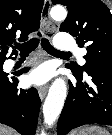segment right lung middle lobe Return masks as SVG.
Instances as JSON below:
<instances>
[{"label":"right lung middle lobe","mask_w":112,"mask_h":135,"mask_svg":"<svg viewBox=\"0 0 112 135\" xmlns=\"http://www.w3.org/2000/svg\"><path fill=\"white\" fill-rule=\"evenodd\" d=\"M3 63L4 62H0V80H2L3 77L6 75V73L3 71Z\"/></svg>","instance_id":"right-lung-middle-lobe-1"}]
</instances>
